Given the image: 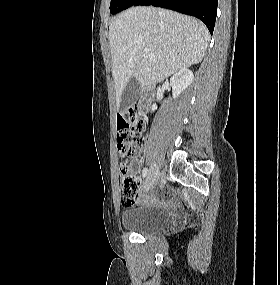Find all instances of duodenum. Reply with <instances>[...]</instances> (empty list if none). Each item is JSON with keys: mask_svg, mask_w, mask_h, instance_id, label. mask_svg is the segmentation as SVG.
Masks as SVG:
<instances>
[{"mask_svg": "<svg viewBox=\"0 0 280 285\" xmlns=\"http://www.w3.org/2000/svg\"><path fill=\"white\" fill-rule=\"evenodd\" d=\"M150 100H151V97H150V96H146V97L143 99V101L141 102L142 107H143V108H146L147 105L149 104Z\"/></svg>", "mask_w": 280, "mask_h": 285, "instance_id": "1", "label": "duodenum"}]
</instances>
